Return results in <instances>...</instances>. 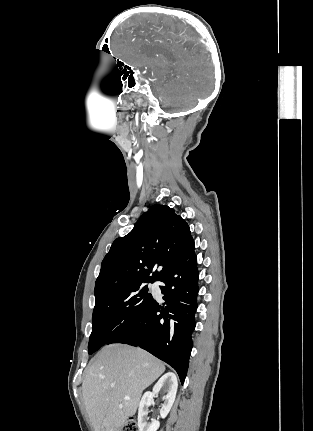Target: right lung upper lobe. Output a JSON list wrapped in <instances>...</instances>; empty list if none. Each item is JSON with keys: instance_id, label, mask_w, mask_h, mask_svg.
Here are the masks:
<instances>
[{"instance_id": "cb5924a9", "label": "right lung upper lobe", "mask_w": 313, "mask_h": 431, "mask_svg": "<svg viewBox=\"0 0 313 431\" xmlns=\"http://www.w3.org/2000/svg\"><path fill=\"white\" fill-rule=\"evenodd\" d=\"M190 228L173 208L153 205L132 231L116 239L104 257L95 299L123 289L160 281L192 241ZM160 268L153 272L154 268Z\"/></svg>"}]
</instances>
